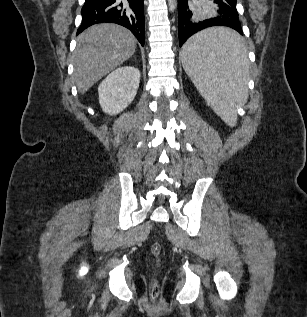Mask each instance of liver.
<instances>
[{"label":"liver","mask_w":307,"mask_h":317,"mask_svg":"<svg viewBox=\"0 0 307 317\" xmlns=\"http://www.w3.org/2000/svg\"><path fill=\"white\" fill-rule=\"evenodd\" d=\"M137 40L124 27L112 23L94 25L77 38L74 51V81L79 93H86L102 77L128 60Z\"/></svg>","instance_id":"6515ba94"}]
</instances>
